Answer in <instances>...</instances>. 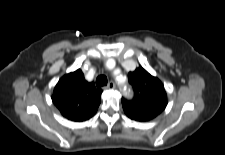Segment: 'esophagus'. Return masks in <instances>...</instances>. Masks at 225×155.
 Wrapping results in <instances>:
<instances>
[{"instance_id": "1", "label": "esophagus", "mask_w": 225, "mask_h": 155, "mask_svg": "<svg viewBox=\"0 0 225 155\" xmlns=\"http://www.w3.org/2000/svg\"><path fill=\"white\" fill-rule=\"evenodd\" d=\"M116 87L115 83L113 81H110L108 85L106 86L107 89H114Z\"/></svg>"}]
</instances>
